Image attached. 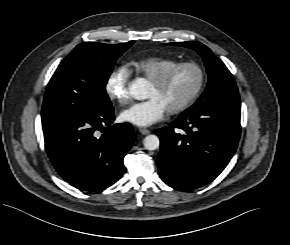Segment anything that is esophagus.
Instances as JSON below:
<instances>
[{
    "mask_svg": "<svg viewBox=\"0 0 290 245\" xmlns=\"http://www.w3.org/2000/svg\"><path fill=\"white\" fill-rule=\"evenodd\" d=\"M139 132L143 135H148L150 133V130L146 128H139Z\"/></svg>",
    "mask_w": 290,
    "mask_h": 245,
    "instance_id": "obj_1",
    "label": "esophagus"
}]
</instances>
